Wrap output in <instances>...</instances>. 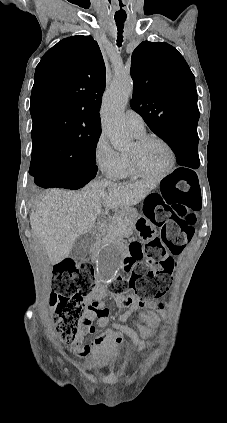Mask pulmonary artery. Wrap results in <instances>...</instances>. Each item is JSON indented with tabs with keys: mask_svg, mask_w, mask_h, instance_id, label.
Returning a JSON list of instances; mask_svg holds the SVG:
<instances>
[{
	"mask_svg": "<svg viewBox=\"0 0 227 423\" xmlns=\"http://www.w3.org/2000/svg\"><path fill=\"white\" fill-rule=\"evenodd\" d=\"M125 123L127 128L135 135L145 133V123L143 118L133 110H127L125 113Z\"/></svg>",
	"mask_w": 227,
	"mask_h": 423,
	"instance_id": "e3ab8cb5",
	"label": "pulmonary artery"
}]
</instances>
